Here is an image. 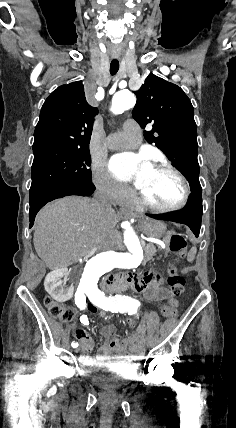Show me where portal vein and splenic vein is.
<instances>
[{
	"label": "portal vein and splenic vein",
	"instance_id": "portal-vein-and-splenic-vein-1",
	"mask_svg": "<svg viewBox=\"0 0 236 428\" xmlns=\"http://www.w3.org/2000/svg\"><path fill=\"white\" fill-rule=\"evenodd\" d=\"M151 242H156V240H151Z\"/></svg>",
	"mask_w": 236,
	"mask_h": 428
}]
</instances>
